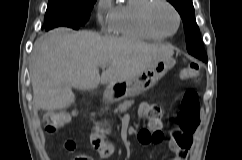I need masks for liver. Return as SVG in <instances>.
I'll return each mask as SVG.
<instances>
[{
  "instance_id": "1",
  "label": "liver",
  "mask_w": 242,
  "mask_h": 160,
  "mask_svg": "<svg viewBox=\"0 0 242 160\" xmlns=\"http://www.w3.org/2000/svg\"><path fill=\"white\" fill-rule=\"evenodd\" d=\"M173 54L169 44L56 28L34 44L31 82L35 108H66L75 100L72 88L91 90L99 84L131 80L154 62ZM101 65L108 68L100 76Z\"/></svg>"
}]
</instances>
